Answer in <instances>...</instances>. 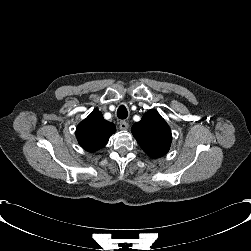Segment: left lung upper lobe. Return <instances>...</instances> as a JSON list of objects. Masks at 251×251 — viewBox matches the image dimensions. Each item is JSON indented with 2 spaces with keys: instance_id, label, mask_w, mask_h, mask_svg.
Returning a JSON list of instances; mask_svg holds the SVG:
<instances>
[{
  "instance_id": "obj_1",
  "label": "left lung upper lobe",
  "mask_w": 251,
  "mask_h": 251,
  "mask_svg": "<svg viewBox=\"0 0 251 251\" xmlns=\"http://www.w3.org/2000/svg\"><path fill=\"white\" fill-rule=\"evenodd\" d=\"M140 147L151 158L165 155L170 148L172 134L168 124L154 109L146 112L131 128Z\"/></svg>"
}]
</instances>
